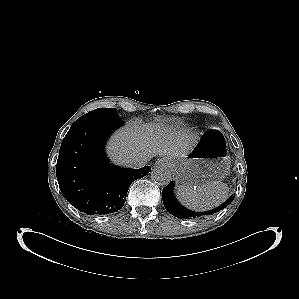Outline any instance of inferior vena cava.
<instances>
[{
  "label": "inferior vena cava",
  "instance_id": "602c4592",
  "mask_svg": "<svg viewBox=\"0 0 299 299\" xmlns=\"http://www.w3.org/2000/svg\"><path fill=\"white\" fill-rule=\"evenodd\" d=\"M149 157H138V158H133L127 161V166L130 168H141L147 164L149 161Z\"/></svg>",
  "mask_w": 299,
  "mask_h": 299
}]
</instances>
